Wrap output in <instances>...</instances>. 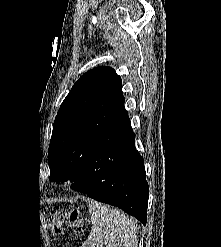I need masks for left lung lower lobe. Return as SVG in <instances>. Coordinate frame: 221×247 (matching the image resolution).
I'll list each match as a JSON object with an SVG mask.
<instances>
[{"label":"left lung lower lobe","mask_w":221,"mask_h":247,"mask_svg":"<svg viewBox=\"0 0 221 247\" xmlns=\"http://www.w3.org/2000/svg\"><path fill=\"white\" fill-rule=\"evenodd\" d=\"M129 117L108 127L71 188L147 222L149 187Z\"/></svg>","instance_id":"obj_1"}]
</instances>
